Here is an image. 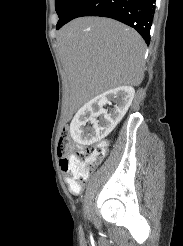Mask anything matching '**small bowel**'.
<instances>
[{
    "label": "small bowel",
    "instance_id": "c3829d8e",
    "mask_svg": "<svg viewBox=\"0 0 183 246\" xmlns=\"http://www.w3.org/2000/svg\"><path fill=\"white\" fill-rule=\"evenodd\" d=\"M67 182H68V184H69V186H70V179H69V177L67 176ZM70 189H71V187H70ZM72 190V189H71ZM73 191V190H72ZM80 191V190H79ZM79 191H73L74 193H78Z\"/></svg>",
    "mask_w": 183,
    "mask_h": 246
}]
</instances>
